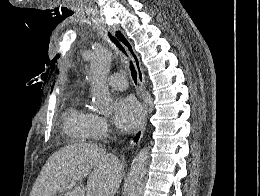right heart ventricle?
<instances>
[{
  "instance_id": "e07e8e85",
  "label": "right heart ventricle",
  "mask_w": 260,
  "mask_h": 196,
  "mask_svg": "<svg viewBox=\"0 0 260 196\" xmlns=\"http://www.w3.org/2000/svg\"><path fill=\"white\" fill-rule=\"evenodd\" d=\"M93 115L85 105V99L82 93H77V97L71 108L65 113V125L71 130H88L92 127ZM77 143H94L91 138H82ZM58 192V190H50Z\"/></svg>"
}]
</instances>
